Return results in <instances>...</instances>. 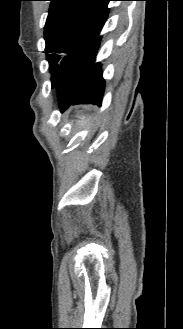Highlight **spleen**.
Segmentation results:
<instances>
[{"instance_id":"spleen-1","label":"spleen","mask_w":183,"mask_h":329,"mask_svg":"<svg viewBox=\"0 0 183 329\" xmlns=\"http://www.w3.org/2000/svg\"><path fill=\"white\" fill-rule=\"evenodd\" d=\"M79 120L77 121V124L82 127L85 128L87 126L91 125V120L87 119L84 115L82 116H78Z\"/></svg>"}]
</instances>
